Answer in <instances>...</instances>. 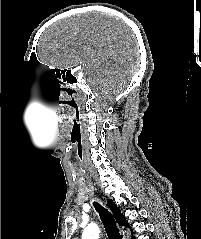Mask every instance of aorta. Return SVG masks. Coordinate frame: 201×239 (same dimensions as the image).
<instances>
[{
    "mask_svg": "<svg viewBox=\"0 0 201 239\" xmlns=\"http://www.w3.org/2000/svg\"><path fill=\"white\" fill-rule=\"evenodd\" d=\"M100 230L96 224H90L87 226L82 234V239H98Z\"/></svg>",
    "mask_w": 201,
    "mask_h": 239,
    "instance_id": "762f6f07",
    "label": "aorta"
}]
</instances>
